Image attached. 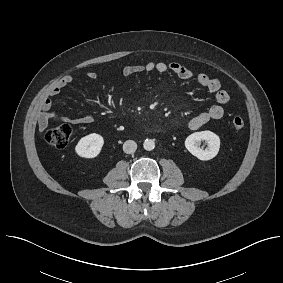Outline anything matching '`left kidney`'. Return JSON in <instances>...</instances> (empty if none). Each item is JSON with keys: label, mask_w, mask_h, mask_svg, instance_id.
<instances>
[{"label": "left kidney", "mask_w": 283, "mask_h": 283, "mask_svg": "<svg viewBox=\"0 0 283 283\" xmlns=\"http://www.w3.org/2000/svg\"><path fill=\"white\" fill-rule=\"evenodd\" d=\"M207 141L205 150L199 147L201 141ZM186 149L199 160L207 161L214 158L220 148V138L211 131H200L189 135L185 140Z\"/></svg>", "instance_id": "obj_1"}]
</instances>
